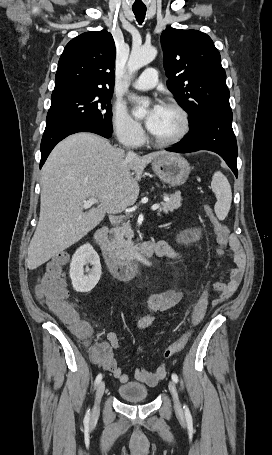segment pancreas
Here are the masks:
<instances>
[{"label":"pancreas","instance_id":"1","mask_svg":"<svg viewBox=\"0 0 272 455\" xmlns=\"http://www.w3.org/2000/svg\"><path fill=\"white\" fill-rule=\"evenodd\" d=\"M168 200L161 202L158 215L160 212L168 213L178 209L182 203V197L179 193L167 195ZM133 231L128 225L119 226L113 229V235L107 242V247L120 262H127L131 259L130 252L133 248Z\"/></svg>","mask_w":272,"mask_h":455}]
</instances>
